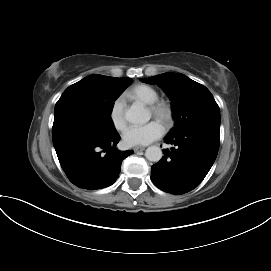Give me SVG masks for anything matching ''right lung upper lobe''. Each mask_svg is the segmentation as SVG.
Returning a JSON list of instances; mask_svg holds the SVG:
<instances>
[{
    "label": "right lung upper lobe",
    "mask_w": 271,
    "mask_h": 271,
    "mask_svg": "<svg viewBox=\"0 0 271 271\" xmlns=\"http://www.w3.org/2000/svg\"><path fill=\"white\" fill-rule=\"evenodd\" d=\"M98 76H102L106 79H109V80H114V81H124V80H127L129 78H113V77H107V76H103V75H98Z\"/></svg>",
    "instance_id": "right-lung-upper-lobe-1"
}]
</instances>
